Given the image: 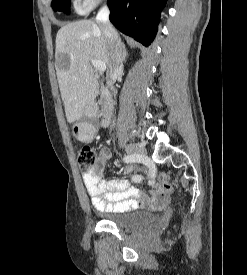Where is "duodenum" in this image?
<instances>
[{"instance_id": "410a0bca", "label": "duodenum", "mask_w": 247, "mask_h": 275, "mask_svg": "<svg viewBox=\"0 0 247 275\" xmlns=\"http://www.w3.org/2000/svg\"><path fill=\"white\" fill-rule=\"evenodd\" d=\"M97 104L99 105V108H100V115H99L100 126L105 127L110 122L112 112L114 109L113 100L108 90H102L99 93L98 100L87 107L88 113H91L95 109Z\"/></svg>"}]
</instances>
